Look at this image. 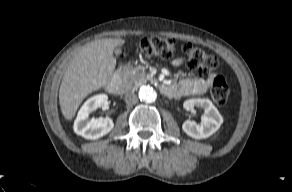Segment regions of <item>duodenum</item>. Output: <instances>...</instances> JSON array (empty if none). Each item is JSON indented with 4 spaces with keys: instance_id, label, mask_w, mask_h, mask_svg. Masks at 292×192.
Segmentation results:
<instances>
[{
    "instance_id": "410a0bca",
    "label": "duodenum",
    "mask_w": 292,
    "mask_h": 192,
    "mask_svg": "<svg viewBox=\"0 0 292 192\" xmlns=\"http://www.w3.org/2000/svg\"><path fill=\"white\" fill-rule=\"evenodd\" d=\"M167 86H163L162 90L165 91ZM107 89L112 94H118L121 91V78L118 73H116L109 84L107 85Z\"/></svg>"
}]
</instances>
